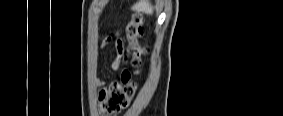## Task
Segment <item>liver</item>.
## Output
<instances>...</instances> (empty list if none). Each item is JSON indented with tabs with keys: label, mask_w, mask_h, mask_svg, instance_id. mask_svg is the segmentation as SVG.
Instances as JSON below:
<instances>
[{
	"label": "liver",
	"mask_w": 283,
	"mask_h": 116,
	"mask_svg": "<svg viewBox=\"0 0 283 116\" xmlns=\"http://www.w3.org/2000/svg\"><path fill=\"white\" fill-rule=\"evenodd\" d=\"M153 5L150 0H139L132 7L131 10L137 12H143L147 14H153Z\"/></svg>",
	"instance_id": "1"
}]
</instances>
